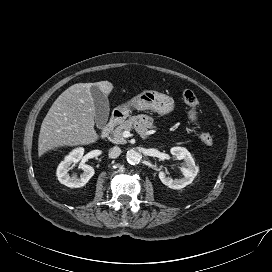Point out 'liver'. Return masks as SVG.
<instances>
[{"label":"liver","instance_id":"liver-1","mask_svg":"<svg viewBox=\"0 0 272 272\" xmlns=\"http://www.w3.org/2000/svg\"><path fill=\"white\" fill-rule=\"evenodd\" d=\"M93 85L106 96L113 90V84L109 81L77 83L54 101L41 125L39 157L54 148L88 145L98 140L94 129L95 104L90 91Z\"/></svg>","mask_w":272,"mask_h":272}]
</instances>
